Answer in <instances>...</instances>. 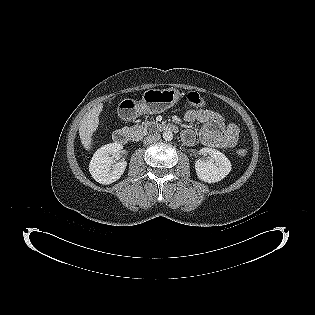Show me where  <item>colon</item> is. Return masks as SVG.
<instances>
[{"label":"colon","mask_w":315,"mask_h":315,"mask_svg":"<svg viewBox=\"0 0 315 315\" xmlns=\"http://www.w3.org/2000/svg\"><path fill=\"white\" fill-rule=\"evenodd\" d=\"M186 103L190 106H194L197 108L204 107L206 105V101L203 97H201L198 93L196 92H190L186 95L185 97ZM238 155L240 157H244L247 155V150L246 149H239L238 150Z\"/></svg>","instance_id":"obj_1"}]
</instances>
